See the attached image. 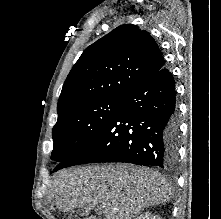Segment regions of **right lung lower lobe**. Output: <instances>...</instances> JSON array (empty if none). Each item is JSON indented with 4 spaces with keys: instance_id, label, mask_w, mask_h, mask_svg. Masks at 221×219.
<instances>
[{
    "instance_id": "1",
    "label": "right lung lower lobe",
    "mask_w": 221,
    "mask_h": 219,
    "mask_svg": "<svg viewBox=\"0 0 221 219\" xmlns=\"http://www.w3.org/2000/svg\"><path fill=\"white\" fill-rule=\"evenodd\" d=\"M175 99L173 76L163 67L130 89L101 131L54 171L95 162L173 168L180 135Z\"/></svg>"
}]
</instances>
